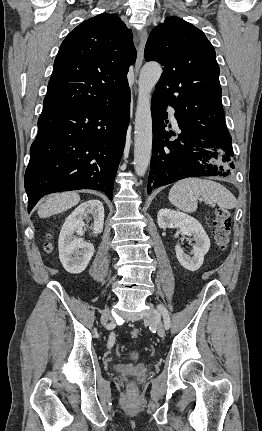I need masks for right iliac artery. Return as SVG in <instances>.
Returning a JSON list of instances; mask_svg holds the SVG:
<instances>
[{"label": "right iliac artery", "instance_id": "obj_1", "mask_svg": "<svg viewBox=\"0 0 262 431\" xmlns=\"http://www.w3.org/2000/svg\"><path fill=\"white\" fill-rule=\"evenodd\" d=\"M114 344V339L113 340H109L108 341V346L110 347V346H112Z\"/></svg>", "mask_w": 262, "mask_h": 431}]
</instances>
